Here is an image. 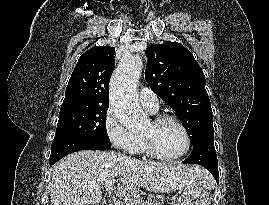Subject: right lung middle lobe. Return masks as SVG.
<instances>
[{"mask_svg":"<svg viewBox=\"0 0 269 205\" xmlns=\"http://www.w3.org/2000/svg\"><path fill=\"white\" fill-rule=\"evenodd\" d=\"M109 105L76 104L62 106L54 139L80 136L109 143L106 113Z\"/></svg>","mask_w":269,"mask_h":205,"instance_id":"dd1d6c3e","label":"right lung middle lobe"}]
</instances>
